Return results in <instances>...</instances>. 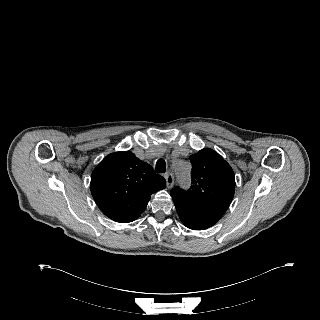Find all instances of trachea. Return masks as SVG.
<instances>
[{
    "label": "trachea",
    "mask_w": 320,
    "mask_h": 320,
    "mask_svg": "<svg viewBox=\"0 0 320 320\" xmlns=\"http://www.w3.org/2000/svg\"><path fill=\"white\" fill-rule=\"evenodd\" d=\"M155 171H156V173H165L166 172V163L164 160L159 159L156 162Z\"/></svg>",
    "instance_id": "obj_1"
}]
</instances>
